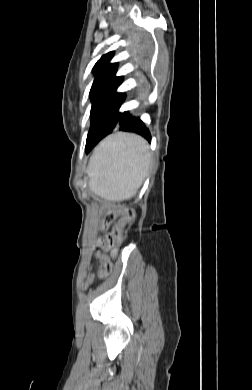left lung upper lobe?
I'll return each mask as SVG.
<instances>
[{"instance_id":"obj_1","label":"left lung upper lobe","mask_w":252,"mask_h":390,"mask_svg":"<svg viewBox=\"0 0 252 390\" xmlns=\"http://www.w3.org/2000/svg\"><path fill=\"white\" fill-rule=\"evenodd\" d=\"M113 52L103 55L95 64L93 71L95 79L90 90L91 121L95 118L111 114L116 117L118 109L125 99L124 93H116V89L123 81V77H116L117 63L110 64Z\"/></svg>"}]
</instances>
